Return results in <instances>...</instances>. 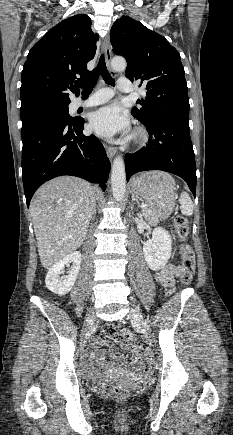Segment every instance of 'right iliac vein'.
<instances>
[{
  "mask_svg": "<svg viewBox=\"0 0 233 435\" xmlns=\"http://www.w3.org/2000/svg\"><path fill=\"white\" fill-rule=\"evenodd\" d=\"M94 322V315L90 314L86 320L87 325H90Z\"/></svg>",
  "mask_w": 233,
  "mask_h": 435,
  "instance_id": "obj_1",
  "label": "right iliac vein"
}]
</instances>
